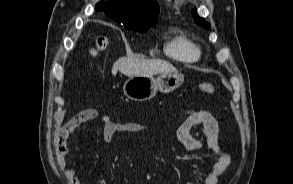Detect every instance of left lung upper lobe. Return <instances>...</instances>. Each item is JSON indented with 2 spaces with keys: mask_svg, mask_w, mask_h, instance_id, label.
I'll use <instances>...</instances> for the list:
<instances>
[{
  "mask_svg": "<svg viewBox=\"0 0 293 184\" xmlns=\"http://www.w3.org/2000/svg\"><path fill=\"white\" fill-rule=\"evenodd\" d=\"M193 17L198 25L205 26V28H207L208 30L210 29V24L208 22H206V24H205V19L199 17L198 14L196 13V10H194V12H193Z\"/></svg>",
  "mask_w": 293,
  "mask_h": 184,
  "instance_id": "5c2ea615",
  "label": "left lung upper lobe"
}]
</instances>
